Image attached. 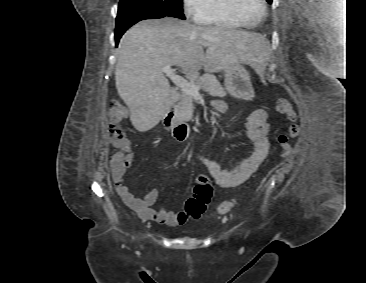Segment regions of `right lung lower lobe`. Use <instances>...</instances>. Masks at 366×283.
Listing matches in <instances>:
<instances>
[{
	"instance_id": "1",
	"label": "right lung lower lobe",
	"mask_w": 366,
	"mask_h": 283,
	"mask_svg": "<svg viewBox=\"0 0 366 283\" xmlns=\"http://www.w3.org/2000/svg\"><path fill=\"white\" fill-rule=\"evenodd\" d=\"M166 17L165 15L161 14H154V13H140L135 15L129 16H122L116 19V29H115V42L116 46L118 45L119 39L124 34V32L131 27L133 24L137 23L138 21L145 20V19H158Z\"/></svg>"
}]
</instances>
